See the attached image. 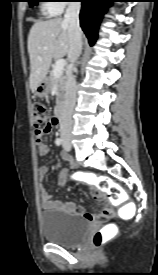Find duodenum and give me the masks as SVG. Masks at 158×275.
<instances>
[{"label": "duodenum", "instance_id": "410a0bca", "mask_svg": "<svg viewBox=\"0 0 158 275\" xmlns=\"http://www.w3.org/2000/svg\"><path fill=\"white\" fill-rule=\"evenodd\" d=\"M63 115H64V102L63 100H60L56 108L57 121L61 120L63 118Z\"/></svg>", "mask_w": 158, "mask_h": 275}]
</instances>
